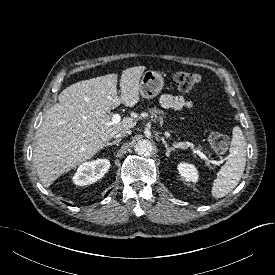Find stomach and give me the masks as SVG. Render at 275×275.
Returning a JSON list of instances; mask_svg holds the SVG:
<instances>
[{
  "mask_svg": "<svg viewBox=\"0 0 275 275\" xmlns=\"http://www.w3.org/2000/svg\"><path fill=\"white\" fill-rule=\"evenodd\" d=\"M164 85L163 77L157 71H146L139 83V93L145 99L157 96Z\"/></svg>",
  "mask_w": 275,
  "mask_h": 275,
  "instance_id": "obj_1",
  "label": "stomach"
}]
</instances>
